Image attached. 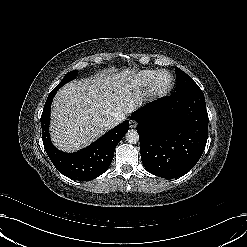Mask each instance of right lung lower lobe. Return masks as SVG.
Instances as JSON below:
<instances>
[{
	"instance_id": "98d812e1",
	"label": "right lung lower lobe",
	"mask_w": 247,
	"mask_h": 247,
	"mask_svg": "<svg viewBox=\"0 0 247 247\" xmlns=\"http://www.w3.org/2000/svg\"><path fill=\"white\" fill-rule=\"evenodd\" d=\"M57 90L54 88L49 94L41 116L42 140L45 151L55 168L63 175L73 180H93L102 175L110 166L117 144L129 129V121H124L80 151L62 152L53 146L49 136L51 103Z\"/></svg>"
}]
</instances>
